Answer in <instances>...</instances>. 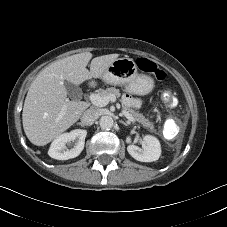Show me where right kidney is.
<instances>
[{"instance_id":"ca27d5eb","label":"right kidney","mask_w":227,"mask_h":227,"mask_svg":"<svg viewBox=\"0 0 227 227\" xmlns=\"http://www.w3.org/2000/svg\"><path fill=\"white\" fill-rule=\"evenodd\" d=\"M87 131L83 129H75L69 133H64L56 137L51 143L48 154L51 158L57 160H68L77 157L84 149ZM75 142L73 148L68 149L67 143Z\"/></svg>"}]
</instances>
